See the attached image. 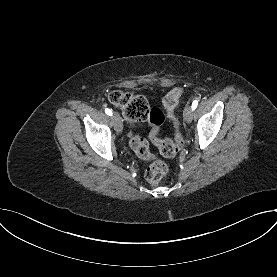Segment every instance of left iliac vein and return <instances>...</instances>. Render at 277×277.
Wrapping results in <instances>:
<instances>
[{
	"label": "left iliac vein",
	"instance_id": "obj_1",
	"mask_svg": "<svg viewBox=\"0 0 277 277\" xmlns=\"http://www.w3.org/2000/svg\"><path fill=\"white\" fill-rule=\"evenodd\" d=\"M183 117H184L185 122L191 123V121L193 119V109L191 108L190 105L185 107Z\"/></svg>",
	"mask_w": 277,
	"mask_h": 277
}]
</instances>
